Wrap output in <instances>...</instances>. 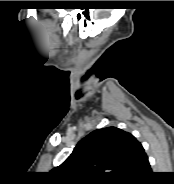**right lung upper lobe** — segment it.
Returning a JSON list of instances; mask_svg holds the SVG:
<instances>
[{
	"label": "right lung upper lobe",
	"mask_w": 174,
	"mask_h": 184,
	"mask_svg": "<svg viewBox=\"0 0 174 184\" xmlns=\"http://www.w3.org/2000/svg\"><path fill=\"white\" fill-rule=\"evenodd\" d=\"M147 159L132 134L107 127L80 140L66 161L52 172L65 184L119 183L131 178Z\"/></svg>",
	"instance_id": "right-lung-upper-lobe-1"
}]
</instances>
